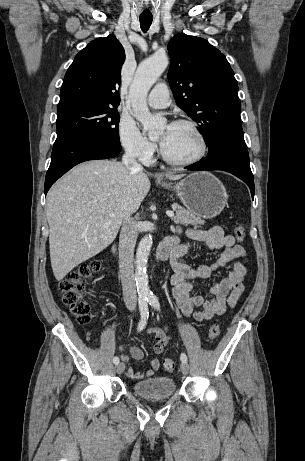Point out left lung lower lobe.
<instances>
[{
  "instance_id": "left-lung-lower-lobe-1",
  "label": "left lung lower lobe",
  "mask_w": 305,
  "mask_h": 461,
  "mask_svg": "<svg viewBox=\"0 0 305 461\" xmlns=\"http://www.w3.org/2000/svg\"><path fill=\"white\" fill-rule=\"evenodd\" d=\"M188 170H223L243 180L254 197L255 186L241 125H232L218 133L206 158L186 167Z\"/></svg>"
}]
</instances>
